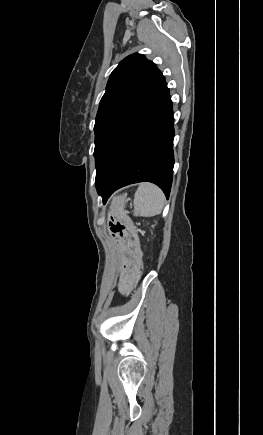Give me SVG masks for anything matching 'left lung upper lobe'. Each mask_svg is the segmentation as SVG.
<instances>
[{
	"instance_id": "1",
	"label": "left lung upper lobe",
	"mask_w": 263,
	"mask_h": 435,
	"mask_svg": "<svg viewBox=\"0 0 263 435\" xmlns=\"http://www.w3.org/2000/svg\"><path fill=\"white\" fill-rule=\"evenodd\" d=\"M167 87L156 65L132 54L113 70L96 116V169L125 128Z\"/></svg>"
}]
</instances>
